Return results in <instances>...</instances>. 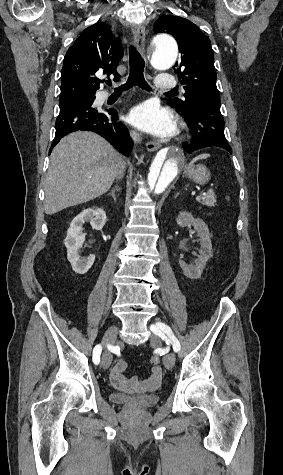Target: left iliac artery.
I'll use <instances>...</instances> for the list:
<instances>
[{
  "label": "left iliac artery",
  "instance_id": "obj_1",
  "mask_svg": "<svg viewBox=\"0 0 283 475\" xmlns=\"http://www.w3.org/2000/svg\"><path fill=\"white\" fill-rule=\"evenodd\" d=\"M151 330L159 336H162L160 331L161 330L164 331L167 334V336L170 338V340L172 341L174 351L178 352L180 350V343L175 337V335L173 334L169 326L165 325L164 323L159 322V323H156V327L152 325Z\"/></svg>",
  "mask_w": 283,
  "mask_h": 475
}]
</instances>
